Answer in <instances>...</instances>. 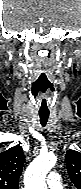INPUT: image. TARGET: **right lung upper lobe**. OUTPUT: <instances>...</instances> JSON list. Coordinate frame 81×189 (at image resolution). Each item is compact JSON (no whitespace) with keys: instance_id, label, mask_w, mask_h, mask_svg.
Returning <instances> with one entry per match:
<instances>
[{"instance_id":"obj_1","label":"right lung upper lobe","mask_w":81,"mask_h":189,"mask_svg":"<svg viewBox=\"0 0 81 189\" xmlns=\"http://www.w3.org/2000/svg\"><path fill=\"white\" fill-rule=\"evenodd\" d=\"M25 156L20 145L0 153V189H18Z\"/></svg>"}]
</instances>
